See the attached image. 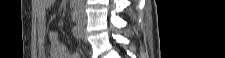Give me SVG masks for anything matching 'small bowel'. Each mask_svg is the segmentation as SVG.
Returning a JSON list of instances; mask_svg holds the SVG:
<instances>
[{
    "label": "small bowel",
    "instance_id": "small-bowel-1",
    "mask_svg": "<svg viewBox=\"0 0 225 58\" xmlns=\"http://www.w3.org/2000/svg\"><path fill=\"white\" fill-rule=\"evenodd\" d=\"M54 0H37V32H38V50L42 57H45V40L49 42V58H80L78 52L68 53L66 47L58 40V34L55 31H47V10L53 5Z\"/></svg>",
    "mask_w": 225,
    "mask_h": 58
}]
</instances>
